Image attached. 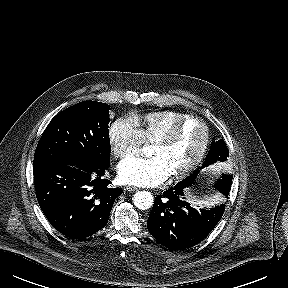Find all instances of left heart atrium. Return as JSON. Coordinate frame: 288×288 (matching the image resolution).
<instances>
[{
	"label": "left heart atrium",
	"mask_w": 288,
	"mask_h": 288,
	"mask_svg": "<svg viewBox=\"0 0 288 288\" xmlns=\"http://www.w3.org/2000/svg\"><path fill=\"white\" fill-rule=\"evenodd\" d=\"M170 176L160 156L150 158L130 157L118 165V178L123 184L151 187L163 183Z\"/></svg>",
	"instance_id": "left-heart-atrium-1"
}]
</instances>
